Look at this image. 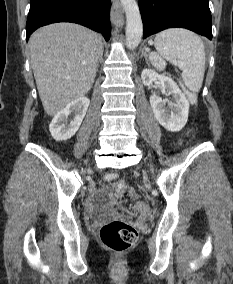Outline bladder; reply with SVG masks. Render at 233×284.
<instances>
[{"label": "bladder", "instance_id": "obj_1", "mask_svg": "<svg viewBox=\"0 0 233 284\" xmlns=\"http://www.w3.org/2000/svg\"><path fill=\"white\" fill-rule=\"evenodd\" d=\"M97 200H101V194L98 195Z\"/></svg>", "mask_w": 233, "mask_h": 284}]
</instances>
